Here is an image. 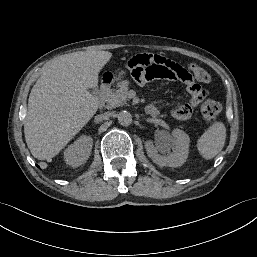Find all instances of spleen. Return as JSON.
<instances>
[{"label":"spleen","mask_w":257,"mask_h":257,"mask_svg":"<svg viewBox=\"0 0 257 257\" xmlns=\"http://www.w3.org/2000/svg\"><path fill=\"white\" fill-rule=\"evenodd\" d=\"M226 127L223 122H214L198 139L197 148L205 159L214 158L224 147Z\"/></svg>","instance_id":"3e777b00"}]
</instances>
